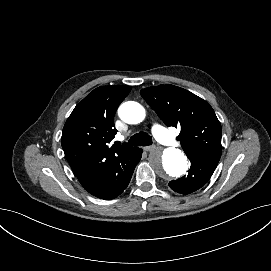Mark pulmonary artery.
I'll return each instance as SVG.
<instances>
[{
	"mask_svg": "<svg viewBox=\"0 0 271 271\" xmlns=\"http://www.w3.org/2000/svg\"><path fill=\"white\" fill-rule=\"evenodd\" d=\"M154 133L156 137L165 144L172 145L175 142V139L171 135L166 134V130L163 127H157Z\"/></svg>",
	"mask_w": 271,
	"mask_h": 271,
	"instance_id": "1",
	"label": "pulmonary artery"
}]
</instances>
